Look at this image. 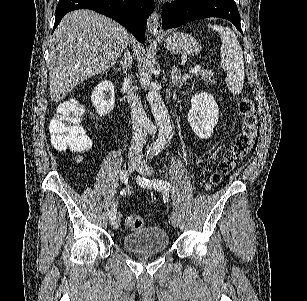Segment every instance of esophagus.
I'll return each instance as SVG.
<instances>
[{
  "label": "esophagus",
  "mask_w": 307,
  "mask_h": 301,
  "mask_svg": "<svg viewBox=\"0 0 307 301\" xmlns=\"http://www.w3.org/2000/svg\"><path fill=\"white\" fill-rule=\"evenodd\" d=\"M147 29L155 38H158L161 35L162 28L159 21V14L157 11L153 12L148 18Z\"/></svg>",
  "instance_id": "esophagus-1"
}]
</instances>
